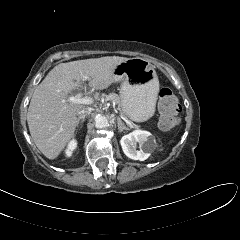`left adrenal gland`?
Masks as SVG:
<instances>
[{
    "instance_id": "a2214340",
    "label": "left adrenal gland",
    "mask_w": 240,
    "mask_h": 240,
    "mask_svg": "<svg viewBox=\"0 0 240 240\" xmlns=\"http://www.w3.org/2000/svg\"><path fill=\"white\" fill-rule=\"evenodd\" d=\"M117 124H118L119 132H122L123 130H129V128L126 127V125L124 124V122H122L120 118H117Z\"/></svg>"
}]
</instances>
